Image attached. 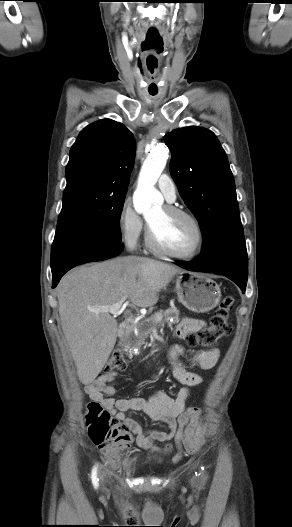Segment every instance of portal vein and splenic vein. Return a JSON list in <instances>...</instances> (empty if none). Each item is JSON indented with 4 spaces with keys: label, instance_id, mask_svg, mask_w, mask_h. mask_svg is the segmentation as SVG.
I'll use <instances>...</instances> for the list:
<instances>
[{
    "label": "portal vein and splenic vein",
    "instance_id": "18ae733b",
    "mask_svg": "<svg viewBox=\"0 0 292 527\" xmlns=\"http://www.w3.org/2000/svg\"><path fill=\"white\" fill-rule=\"evenodd\" d=\"M127 297H123L121 298L120 301H118L117 303L109 306V307H105L103 309H100V310H94L95 312H104V313H110L112 315H118L120 314L122 311H123V303L126 301ZM162 319V316L158 315L157 316V321H160Z\"/></svg>",
    "mask_w": 292,
    "mask_h": 527
}]
</instances>
